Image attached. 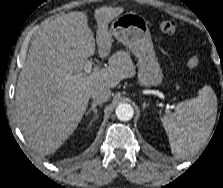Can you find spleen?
Instances as JSON below:
<instances>
[{
	"mask_svg": "<svg viewBox=\"0 0 223 188\" xmlns=\"http://www.w3.org/2000/svg\"><path fill=\"white\" fill-rule=\"evenodd\" d=\"M217 113V98L204 86L198 96L178 103L175 111L161 118L172 153L188 156L211 132Z\"/></svg>",
	"mask_w": 223,
	"mask_h": 188,
	"instance_id": "obj_1",
	"label": "spleen"
}]
</instances>
